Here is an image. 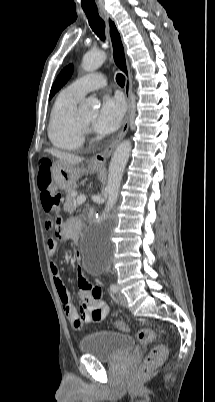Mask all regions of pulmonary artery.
<instances>
[{"mask_svg": "<svg viewBox=\"0 0 215 402\" xmlns=\"http://www.w3.org/2000/svg\"><path fill=\"white\" fill-rule=\"evenodd\" d=\"M106 85V78L101 73H90L80 77L68 86L75 94L83 97L89 91L99 89Z\"/></svg>", "mask_w": 215, "mask_h": 402, "instance_id": "1", "label": "pulmonary artery"}]
</instances>
